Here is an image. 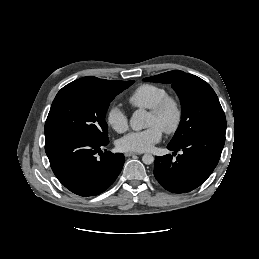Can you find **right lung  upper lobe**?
<instances>
[{
  "instance_id": "1",
  "label": "right lung upper lobe",
  "mask_w": 259,
  "mask_h": 259,
  "mask_svg": "<svg viewBox=\"0 0 259 259\" xmlns=\"http://www.w3.org/2000/svg\"><path fill=\"white\" fill-rule=\"evenodd\" d=\"M76 82L85 83L101 90L110 88L114 83L112 80L99 79L93 76L83 77L76 80Z\"/></svg>"
}]
</instances>
